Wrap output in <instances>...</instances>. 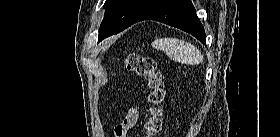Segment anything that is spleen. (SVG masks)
Returning <instances> with one entry per match:
<instances>
[{
  "mask_svg": "<svg viewBox=\"0 0 280 137\" xmlns=\"http://www.w3.org/2000/svg\"><path fill=\"white\" fill-rule=\"evenodd\" d=\"M152 47L163 51L175 62L198 65L203 61V55L193 44L181 39L165 37L152 42Z\"/></svg>",
  "mask_w": 280,
  "mask_h": 137,
  "instance_id": "1",
  "label": "spleen"
}]
</instances>
